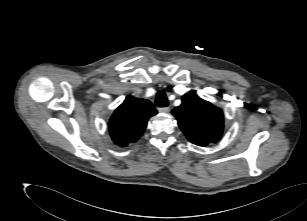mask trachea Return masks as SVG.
Masks as SVG:
<instances>
[{
	"label": "trachea",
	"instance_id": "obj_1",
	"mask_svg": "<svg viewBox=\"0 0 307 221\" xmlns=\"http://www.w3.org/2000/svg\"><path fill=\"white\" fill-rule=\"evenodd\" d=\"M168 98L164 91H158L155 98V105L157 107H166L168 106Z\"/></svg>",
	"mask_w": 307,
	"mask_h": 221
}]
</instances>
